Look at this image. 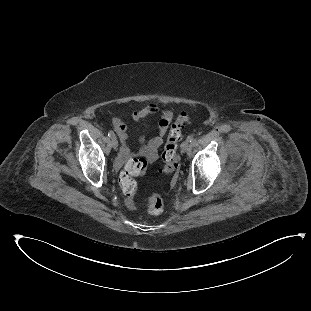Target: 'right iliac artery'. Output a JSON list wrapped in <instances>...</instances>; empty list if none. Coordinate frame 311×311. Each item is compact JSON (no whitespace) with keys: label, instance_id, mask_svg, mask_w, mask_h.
Listing matches in <instances>:
<instances>
[{"label":"right iliac artery","instance_id":"1","mask_svg":"<svg viewBox=\"0 0 311 311\" xmlns=\"http://www.w3.org/2000/svg\"><path fill=\"white\" fill-rule=\"evenodd\" d=\"M108 136H109L110 138H113V137H115V134H114L113 131H109V132H108Z\"/></svg>","mask_w":311,"mask_h":311}]
</instances>
